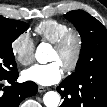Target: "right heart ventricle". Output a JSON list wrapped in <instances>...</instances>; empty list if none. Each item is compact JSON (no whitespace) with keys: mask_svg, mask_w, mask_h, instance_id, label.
Masks as SVG:
<instances>
[{"mask_svg":"<svg viewBox=\"0 0 107 107\" xmlns=\"http://www.w3.org/2000/svg\"><path fill=\"white\" fill-rule=\"evenodd\" d=\"M70 26L62 21L47 19L37 24L35 27L36 34L44 41L54 44Z\"/></svg>","mask_w":107,"mask_h":107,"instance_id":"1","label":"right heart ventricle"}]
</instances>
